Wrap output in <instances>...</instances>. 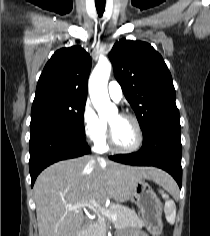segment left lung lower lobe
I'll list each match as a JSON object with an SVG mask.
<instances>
[{"label": "left lung lower lobe", "instance_id": "obj_1", "mask_svg": "<svg viewBox=\"0 0 210 236\" xmlns=\"http://www.w3.org/2000/svg\"><path fill=\"white\" fill-rule=\"evenodd\" d=\"M143 135V145L138 152L110 156V159L128 165L161 168L171 174L181 188L180 122L162 121L155 123Z\"/></svg>", "mask_w": 210, "mask_h": 236}]
</instances>
